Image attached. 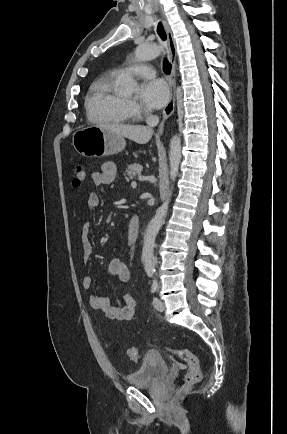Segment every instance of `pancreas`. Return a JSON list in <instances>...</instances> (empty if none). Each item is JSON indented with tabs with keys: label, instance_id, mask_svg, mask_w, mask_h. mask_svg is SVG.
Instances as JSON below:
<instances>
[{
	"label": "pancreas",
	"instance_id": "pancreas-1",
	"mask_svg": "<svg viewBox=\"0 0 287 434\" xmlns=\"http://www.w3.org/2000/svg\"><path fill=\"white\" fill-rule=\"evenodd\" d=\"M142 166L140 164L134 163L131 165H128L126 169V174L129 177V179H134L137 175H140L142 172Z\"/></svg>",
	"mask_w": 287,
	"mask_h": 434
}]
</instances>
